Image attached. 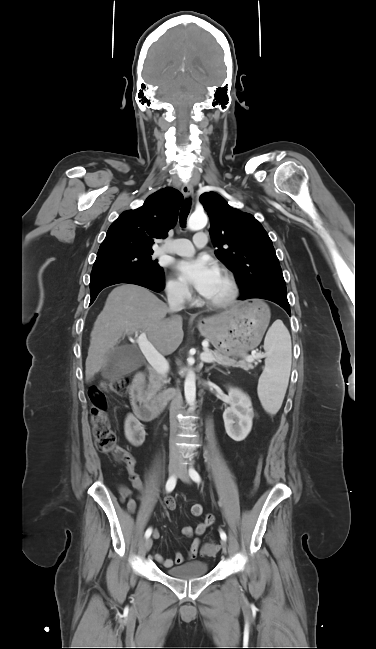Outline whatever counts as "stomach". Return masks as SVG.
I'll return each instance as SVG.
<instances>
[{
  "label": "stomach",
  "mask_w": 376,
  "mask_h": 649,
  "mask_svg": "<svg viewBox=\"0 0 376 649\" xmlns=\"http://www.w3.org/2000/svg\"><path fill=\"white\" fill-rule=\"evenodd\" d=\"M269 320L270 312L265 303L239 302L227 313L201 319L198 329L218 352L236 355L260 344Z\"/></svg>",
  "instance_id": "1"
}]
</instances>
